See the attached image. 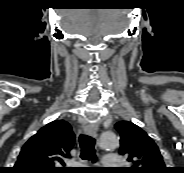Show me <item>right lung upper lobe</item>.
<instances>
[{
    "instance_id": "cb5924a9",
    "label": "right lung upper lobe",
    "mask_w": 184,
    "mask_h": 173,
    "mask_svg": "<svg viewBox=\"0 0 184 173\" xmlns=\"http://www.w3.org/2000/svg\"><path fill=\"white\" fill-rule=\"evenodd\" d=\"M74 141L70 124L55 120L25 143L12 170L14 173H69L64 159L70 157Z\"/></svg>"
}]
</instances>
